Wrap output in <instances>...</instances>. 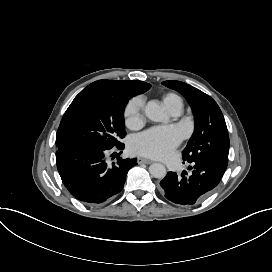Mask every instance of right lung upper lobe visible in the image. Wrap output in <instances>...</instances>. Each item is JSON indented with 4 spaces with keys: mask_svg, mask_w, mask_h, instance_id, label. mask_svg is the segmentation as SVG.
I'll return each mask as SVG.
<instances>
[{
    "mask_svg": "<svg viewBox=\"0 0 272 272\" xmlns=\"http://www.w3.org/2000/svg\"><path fill=\"white\" fill-rule=\"evenodd\" d=\"M150 87V84L137 80H98L83 91L114 92L133 96L147 91Z\"/></svg>",
    "mask_w": 272,
    "mask_h": 272,
    "instance_id": "cb5924a9",
    "label": "right lung upper lobe"
}]
</instances>
